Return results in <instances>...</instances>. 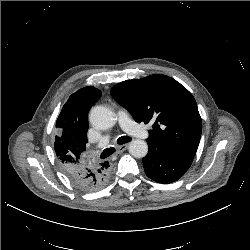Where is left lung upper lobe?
<instances>
[{
  "label": "left lung upper lobe",
  "mask_w": 250,
  "mask_h": 250,
  "mask_svg": "<svg viewBox=\"0 0 250 250\" xmlns=\"http://www.w3.org/2000/svg\"><path fill=\"white\" fill-rule=\"evenodd\" d=\"M111 95L135 121L154 123L148 145L171 154L195 156L202 121L193 95L179 82L155 74L118 83Z\"/></svg>",
  "instance_id": "left-lung-upper-lobe-1"
}]
</instances>
